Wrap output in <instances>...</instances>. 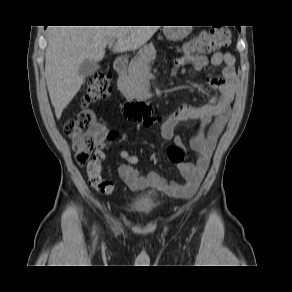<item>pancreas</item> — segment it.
<instances>
[{"label":"pancreas","instance_id":"cf45deb5","mask_svg":"<svg viewBox=\"0 0 292 292\" xmlns=\"http://www.w3.org/2000/svg\"><path fill=\"white\" fill-rule=\"evenodd\" d=\"M156 58L153 44L143 46L138 55L132 59L126 71L118 78V88L127 99L137 98L144 89L143 74L150 62Z\"/></svg>","mask_w":292,"mask_h":292}]
</instances>
